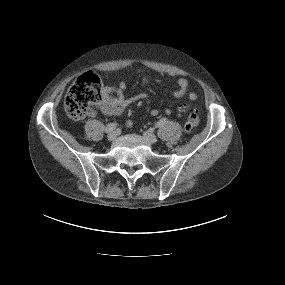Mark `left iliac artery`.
<instances>
[{
    "instance_id": "44dca946",
    "label": "left iliac artery",
    "mask_w": 285,
    "mask_h": 285,
    "mask_svg": "<svg viewBox=\"0 0 285 285\" xmlns=\"http://www.w3.org/2000/svg\"><path fill=\"white\" fill-rule=\"evenodd\" d=\"M166 122H167V119H166V118H162V119H160V120L156 123V127H161V126H163Z\"/></svg>"
}]
</instances>
